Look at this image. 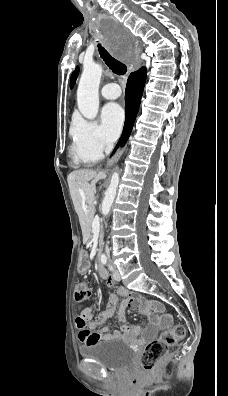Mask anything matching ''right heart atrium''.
Returning a JSON list of instances; mask_svg holds the SVG:
<instances>
[{"instance_id": "1", "label": "right heart atrium", "mask_w": 228, "mask_h": 396, "mask_svg": "<svg viewBox=\"0 0 228 396\" xmlns=\"http://www.w3.org/2000/svg\"><path fill=\"white\" fill-rule=\"evenodd\" d=\"M72 135L75 152L81 159L88 158L97 161L111 148V143L95 121L77 119Z\"/></svg>"}]
</instances>
